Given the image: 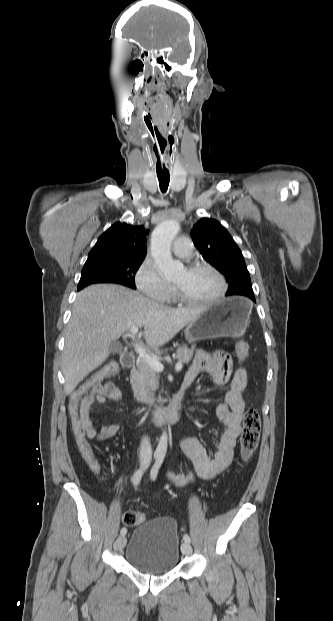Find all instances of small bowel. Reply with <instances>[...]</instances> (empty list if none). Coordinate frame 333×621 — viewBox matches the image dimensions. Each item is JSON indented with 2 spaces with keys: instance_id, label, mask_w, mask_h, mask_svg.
<instances>
[{
  "instance_id": "1",
  "label": "small bowel",
  "mask_w": 333,
  "mask_h": 621,
  "mask_svg": "<svg viewBox=\"0 0 333 621\" xmlns=\"http://www.w3.org/2000/svg\"><path fill=\"white\" fill-rule=\"evenodd\" d=\"M200 373H207L214 383H229L225 401L218 405L216 415L225 429L221 433L213 455L192 434H183L182 446L192 461L198 477L208 481L226 470L234 457L237 438L241 434V422L245 410V393L248 386V372L244 368L233 369L229 355L223 351L209 353L199 351L188 369L184 384L189 387ZM79 415L84 427L86 438L104 441L112 438L119 431L117 424H101L95 428L91 419V410L95 404H103L106 400L120 401L123 397L121 389L113 382L96 384L89 388L80 387ZM168 479L176 486L182 487L194 481V477L168 474Z\"/></svg>"
}]
</instances>
